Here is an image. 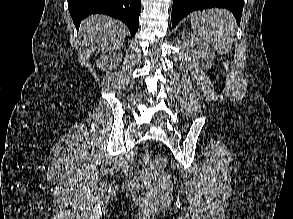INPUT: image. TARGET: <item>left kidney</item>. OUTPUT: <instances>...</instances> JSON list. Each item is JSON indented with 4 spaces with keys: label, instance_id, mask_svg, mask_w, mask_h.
I'll return each mask as SVG.
<instances>
[{
    "label": "left kidney",
    "instance_id": "1",
    "mask_svg": "<svg viewBox=\"0 0 293 219\" xmlns=\"http://www.w3.org/2000/svg\"><path fill=\"white\" fill-rule=\"evenodd\" d=\"M182 38L184 39L186 45L190 48V52L198 61H200L203 67H210L215 58V53L211 48L194 37L188 31L182 32Z\"/></svg>",
    "mask_w": 293,
    "mask_h": 219
}]
</instances>
